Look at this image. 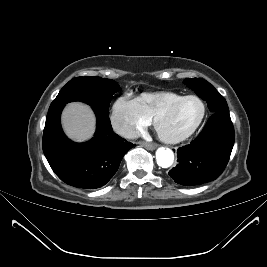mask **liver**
Segmentation results:
<instances>
[{
    "label": "liver",
    "instance_id": "liver-1",
    "mask_svg": "<svg viewBox=\"0 0 267 267\" xmlns=\"http://www.w3.org/2000/svg\"><path fill=\"white\" fill-rule=\"evenodd\" d=\"M61 121L66 135L77 142L89 140L95 132V115L90 106L81 102L67 104Z\"/></svg>",
    "mask_w": 267,
    "mask_h": 267
}]
</instances>
